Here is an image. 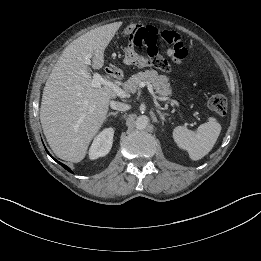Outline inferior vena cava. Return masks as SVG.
<instances>
[{"instance_id": "1", "label": "inferior vena cava", "mask_w": 261, "mask_h": 261, "mask_svg": "<svg viewBox=\"0 0 261 261\" xmlns=\"http://www.w3.org/2000/svg\"><path fill=\"white\" fill-rule=\"evenodd\" d=\"M110 107L119 111H126L129 109V105L121 102L111 101Z\"/></svg>"}]
</instances>
